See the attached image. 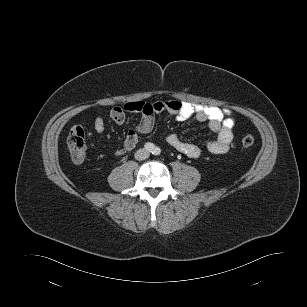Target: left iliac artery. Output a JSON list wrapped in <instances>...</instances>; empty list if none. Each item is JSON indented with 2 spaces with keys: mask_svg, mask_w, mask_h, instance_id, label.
I'll return each mask as SVG.
<instances>
[{
  "mask_svg": "<svg viewBox=\"0 0 307 307\" xmlns=\"http://www.w3.org/2000/svg\"><path fill=\"white\" fill-rule=\"evenodd\" d=\"M154 155H159L161 153V150L159 147H155L153 152H152Z\"/></svg>",
  "mask_w": 307,
  "mask_h": 307,
  "instance_id": "obj_1",
  "label": "left iliac artery"
}]
</instances>
